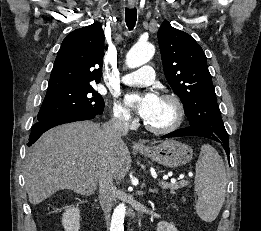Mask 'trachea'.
Returning a JSON list of instances; mask_svg holds the SVG:
<instances>
[{"label": "trachea", "instance_id": "3493384b", "mask_svg": "<svg viewBox=\"0 0 261 231\" xmlns=\"http://www.w3.org/2000/svg\"><path fill=\"white\" fill-rule=\"evenodd\" d=\"M137 10L126 8L125 10V21L129 30H132L136 24Z\"/></svg>", "mask_w": 261, "mask_h": 231}]
</instances>
